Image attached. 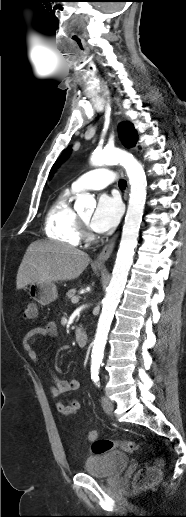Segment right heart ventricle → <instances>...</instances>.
Wrapping results in <instances>:
<instances>
[{
	"mask_svg": "<svg viewBox=\"0 0 186 517\" xmlns=\"http://www.w3.org/2000/svg\"><path fill=\"white\" fill-rule=\"evenodd\" d=\"M73 189H65L53 200L45 218L46 235L70 246H78L82 240L80 218L70 204Z\"/></svg>",
	"mask_w": 186,
	"mask_h": 517,
	"instance_id": "obj_1",
	"label": "right heart ventricle"
}]
</instances>
